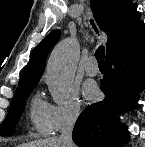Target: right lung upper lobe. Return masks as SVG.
<instances>
[{
    "instance_id": "1",
    "label": "right lung upper lobe",
    "mask_w": 145,
    "mask_h": 147,
    "mask_svg": "<svg viewBox=\"0 0 145 147\" xmlns=\"http://www.w3.org/2000/svg\"><path fill=\"white\" fill-rule=\"evenodd\" d=\"M95 20L107 36V53L143 22L137 6L129 0H91ZM60 37V31L51 32L34 49L18 83V89L36 86L42 76L46 58ZM106 53V54H107Z\"/></svg>"
}]
</instances>
